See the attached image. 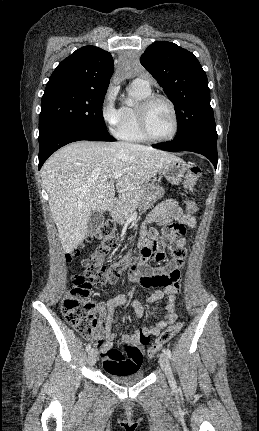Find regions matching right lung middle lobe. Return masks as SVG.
Listing matches in <instances>:
<instances>
[{"label": "right lung middle lobe", "mask_w": 259, "mask_h": 431, "mask_svg": "<svg viewBox=\"0 0 259 431\" xmlns=\"http://www.w3.org/2000/svg\"><path fill=\"white\" fill-rule=\"evenodd\" d=\"M106 92L55 88L44 92L39 135L61 124H75L108 133L102 113Z\"/></svg>", "instance_id": "1"}]
</instances>
